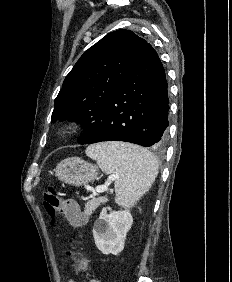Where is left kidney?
I'll use <instances>...</instances> for the list:
<instances>
[{
    "mask_svg": "<svg viewBox=\"0 0 232 282\" xmlns=\"http://www.w3.org/2000/svg\"><path fill=\"white\" fill-rule=\"evenodd\" d=\"M107 211H110L108 214ZM133 223L129 211H112L110 207L102 209L94 223L93 236L96 247L103 254L117 255L124 249L127 232Z\"/></svg>",
    "mask_w": 232,
    "mask_h": 282,
    "instance_id": "5707ae66",
    "label": "left kidney"
}]
</instances>
